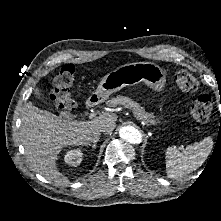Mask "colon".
<instances>
[{
	"mask_svg": "<svg viewBox=\"0 0 221 221\" xmlns=\"http://www.w3.org/2000/svg\"><path fill=\"white\" fill-rule=\"evenodd\" d=\"M74 76L75 67L72 64H66L53 80L50 97L54 105L60 110L73 111L76 107V102L70 90L74 83ZM175 81L183 95L194 92L199 85L197 79L184 70L176 73ZM212 108L211 98L207 95H201L191 103L189 111L197 122H204L210 117Z\"/></svg>",
	"mask_w": 221,
	"mask_h": 221,
	"instance_id": "5ec220e1",
	"label": "colon"
}]
</instances>
